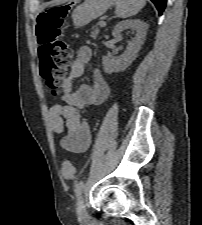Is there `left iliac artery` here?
Here are the masks:
<instances>
[{
    "label": "left iliac artery",
    "instance_id": "obj_1",
    "mask_svg": "<svg viewBox=\"0 0 202 225\" xmlns=\"http://www.w3.org/2000/svg\"><path fill=\"white\" fill-rule=\"evenodd\" d=\"M83 188H84V182H83V181H80V182H78V183L75 185V193H76L77 198L80 197Z\"/></svg>",
    "mask_w": 202,
    "mask_h": 225
}]
</instances>
